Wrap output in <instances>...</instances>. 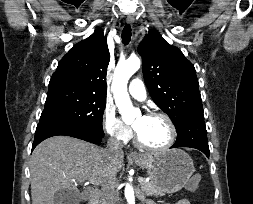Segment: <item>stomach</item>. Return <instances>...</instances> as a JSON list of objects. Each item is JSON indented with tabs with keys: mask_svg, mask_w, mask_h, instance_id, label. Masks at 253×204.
<instances>
[{
	"mask_svg": "<svg viewBox=\"0 0 253 204\" xmlns=\"http://www.w3.org/2000/svg\"><path fill=\"white\" fill-rule=\"evenodd\" d=\"M132 161L147 170L151 182L163 193L181 190L195 171L191 157L180 149L140 154Z\"/></svg>",
	"mask_w": 253,
	"mask_h": 204,
	"instance_id": "1",
	"label": "stomach"
}]
</instances>
